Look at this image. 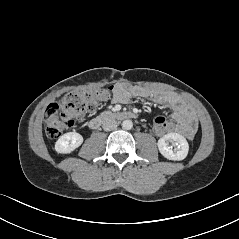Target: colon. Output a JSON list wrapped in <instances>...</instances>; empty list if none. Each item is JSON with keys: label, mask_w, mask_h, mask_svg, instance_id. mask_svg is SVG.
<instances>
[{"label": "colon", "mask_w": 239, "mask_h": 239, "mask_svg": "<svg viewBox=\"0 0 239 239\" xmlns=\"http://www.w3.org/2000/svg\"><path fill=\"white\" fill-rule=\"evenodd\" d=\"M114 87L93 88L72 91L66 94L60 103H51L44 110L45 130L50 138L59 137L66 129L73 127L84 116L95 112L106 101ZM151 128L155 137L162 139L172 130L167 117L159 115L153 118ZM192 139V138H191Z\"/></svg>", "instance_id": "colon-1"}]
</instances>
